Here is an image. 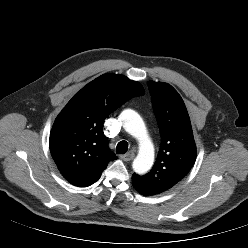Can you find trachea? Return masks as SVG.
Here are the masks:
<instances>
[{
    "label": "trachea",
    "mask_w": 248,
    "mask_h": 248,
    "mask_svg": "<svg viewBox=\"0 0 248 248\" xmlns=\"http://www.w3.org/2000/svg\"><path fill=\"white\" fill-rule=\"evenodd\" d=\"M128 150V143L127 141H120L118 144H117V147H116V153L117 154H125Z\"/></svg>",
    "instance_id": "trachea-1"
}]
</instances>
